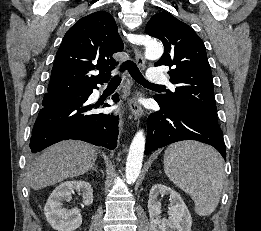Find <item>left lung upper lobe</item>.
<instances>
[{"mask_svg":"<svg viewBox=\"0 0 261 231\" xmlns=\"http://www.w3.org/2000/svg\"><path fill=\"white\" fill-rule=\"evenodd\" d=\"M146 33L160 39L164 54L155 66L167 65L175 92L154 98L167 107H184L194 114L218 124L213 81L206 48L200 37L187 24L167 12L154 15Z\"/></svg>","mask_w":261,"mask_h":231,"instance_id":"5c2ea615","label":"left lung upper lobe"}]
</instances>
